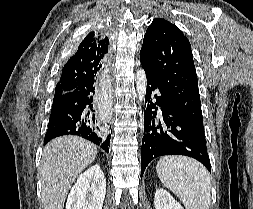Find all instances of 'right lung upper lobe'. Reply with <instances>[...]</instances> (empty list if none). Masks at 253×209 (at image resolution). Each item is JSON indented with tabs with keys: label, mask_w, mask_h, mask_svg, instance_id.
I'll list each match as a JSON object with an SVG mask.
<instances>
[{
	"label": "right lung upper lobe",
	"mask_w": 253,
	"mask_h": 209,
	"mask_svg": "<svg viewBox=\"0 0 253 209\" xmlns=\"http://www.w3.org/2000/svg\"><path fill=\"white\" fill-rule=\"evenodd\" d=\"M107 52L108 38L103 34L90 32L63 67L55 94L74 90L96 78Z\"/></svg>",
	"instance_id": "1"
}]
</instances>
